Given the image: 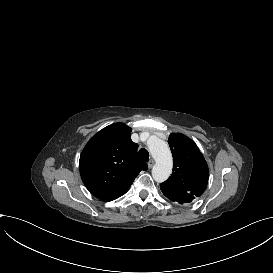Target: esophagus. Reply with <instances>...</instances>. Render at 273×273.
Wrapping results in <instances>:
<instances>
[{"label": "esophagus", "instance_id": "1", "mask_svg": "<svg viewBox=\"0 0 273 273\" xmlns=\"http://www.w3.org/2000/svg\"><path fill=\"white\" fill-rule=\"evenodd\" d=\"M154 165V160L153 159H150L149 162H148V167L149 168H152Z\"/></svg>", "mask_w": 273, "mask_h": 273}]
</instances>
